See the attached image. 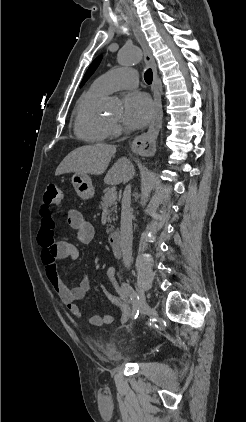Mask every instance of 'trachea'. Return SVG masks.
Returning <instances> with one entry per match:
<instances>
[{"instance_id": "trachea-1", "label": "trachea", "mask_w": 246, "mask_h": 422, "mask_svg": "<svg viewBox=\"0 0 246 422\" xmlns=\"http://www.w3.org/2000/svg\"><path fill=\"white\" fill-rule=\"evenodd\" d=\"M144 79L145 82L147 84H151L152 83V79H153V73L151 69L146 70V72L144 73Z\"/></svg>"}]
</instances>
